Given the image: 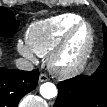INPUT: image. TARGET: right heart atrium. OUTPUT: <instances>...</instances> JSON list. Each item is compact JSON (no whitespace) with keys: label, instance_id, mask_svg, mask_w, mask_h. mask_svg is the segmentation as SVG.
<instances>
[{"label":"right heart atrium","instance_id":"1","mask_svg":"<svg viewBox=\"0 0 107 107\" xmlns=\"http://www.w3.org/2000/svg\"><path fill=\"white\" fill-rule=\"evenodd\" d=\"M17 49L20 54H22L24 57L35 61V53L32 51V49L28 46L27 43H24L23 41L19 40L17 43Z\"/></svg>","mask_w":107,"mask_h":107}]
</instances>
